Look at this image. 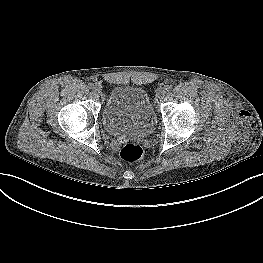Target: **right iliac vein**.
<instances>
[{"label":"right iliac vein","mask_w":263,"mask_h":263,"mask_svg":"<svg viewBox=\"0 0 263 263\" xmlns=\"http://www.w3.org/2000/svg\"><path fill=\"white\" fill-rule=\"evenodd\" d=\"M97 93H101V86L96 89Z\"/></svg>","instance_id":"1"}]
</instances>
